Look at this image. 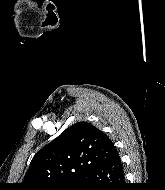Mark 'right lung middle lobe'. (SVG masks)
<instances>
[{
  "mask_svg": "<svg viewBox=\"0 0 165 190\" xmlns=\"http://www.w3.org/2000/svg\"><path fill=\"white\" fill-rule=\"evenodd\" d=\"M81 185V180H79L73 184L52 188L51 190H79Z\"/></svg>",
  "mask_w": 165,
  "mask_h": 190,
  "instance_id": "1",
  "label": "right lung middle lobe"
}]
</instances>
